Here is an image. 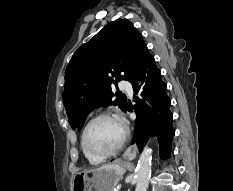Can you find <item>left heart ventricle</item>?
<instances>
[{
    "label": "left heart ventricle",
    "instance_id": "b2bd125f",
    "mask_svg": "<svg viewBox=\"0 0 233 191\" xmlns=\"http://www.w3.org/2000/svg\"><path fill=\"white\" fill-rule=\"evenodd\" d=\"M123 135L120 122L111 119H100L94 122L87 133V145L95 153H104L112 149Z\"/></svg>",
    "mask_w": 233,
    "mask_h": 191
}]
</instances>
